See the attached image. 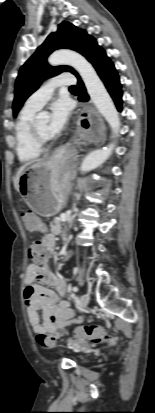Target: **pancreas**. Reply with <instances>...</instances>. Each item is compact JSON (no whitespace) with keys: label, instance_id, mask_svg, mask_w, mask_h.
<instances>
[{"label":"pancreas","instance_id":"pancreas-1","mask_svg":"<svg viewBox=\"0 0 155 413\" xmlns=\"http://www.w3.org/2000/svg\"><path fill=\"white\" fill-rule=\"evenodd\" d=\"M60 226V218H55L51 223V228L54 233H58V227Z\"/></svg>","mask_w":155,"mask_h":413}]
</instances>
